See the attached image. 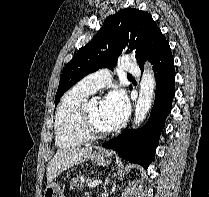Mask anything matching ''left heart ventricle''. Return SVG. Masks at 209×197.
I'll return each instance as SVG.
<instances>
[{"mask_svg": "<svg viewBox=\"0 0 209 197\" xmlns=\"http://www.w3.org/2000/svg\"><path fill=\"white\" fill-rule=\"evenodd\" d=\"M101 106L102 101L100 100H94L89 105V115L91 122L96 130H108L111 129L109 125L105 122L103 119L102 113H101Z\"/></svg>", "mask_w": 209, "mask_h": 197, "instance_id": "left-heart-ventricle-1", "label": "left heart ventricle"}]
</instances>
